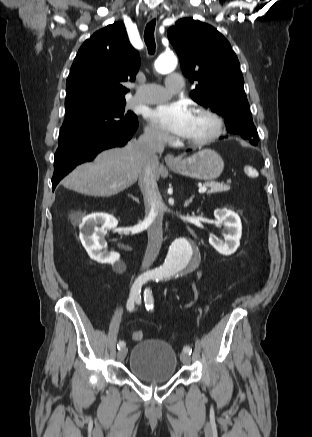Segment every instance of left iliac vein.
Here are the masks:
<instances>
[{"instance_id":"1","label":"left iliac vein","mask_w":312,"mask_h":437,"mask_svg":"<svg viewBox=\"0 0 312 437\" xmlns=\"http://www.w3.org/2000/svg\"><path fill=\"white\" fill-rule=\"evenodd\" d=\"M180 359H181L182 363L185 365H188L191 362V358H190L189 354L186 352H182L180 354Z\"/></svg>"}]
</instances>
